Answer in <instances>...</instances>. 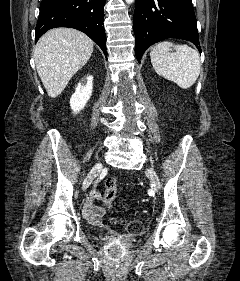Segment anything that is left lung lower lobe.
I'll return each mask as SVG.
<instances>
[{"label": "left lung lower lobe", "instance_id": "left-lung-lower-lobe-1", "mask_svg": "<svg viewBox=\"0 0 240 281\" xmlns=\"http://www.w3.org/2000/svg\"><path fill=\"white\" fill-rule=\"evenodd\" d=\"M192 0H136L133 28L136 57L152 44L167 38L193 42L201 52Z\"/></svg>", "mask_w": 240, "mask_h": 281}]
</instances>
